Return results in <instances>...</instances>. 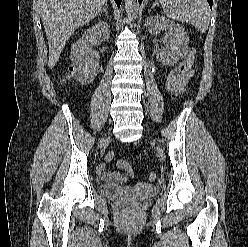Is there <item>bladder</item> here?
<instances>
[{
	"label": "bladder",
	"instance_id": "1",
	"mask_svg": "<svg viewBox=\"0 0 248 247\" xmlns=\"http://www.w3.org/2000/svg\"><path fill=\"white\" fill-rule=\"evenodd\" d=\"M132 190L131 187H123L112 184H101L99 186V192L106 197L120 199L122 196L130 192Z\"/></svg>",
	"mask_w": 248,
	"mask_h": 247
}]
</instances>
